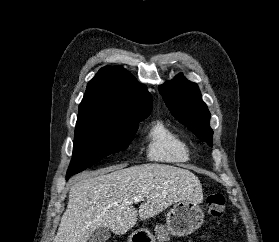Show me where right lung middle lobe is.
Wrapping results in <instances>:
<instances>
[{"instance_id":"right-lung-middle-lobe-1","label":"right lung middle lobe","mask_w":279,"mask_h":242,"mask_svg":"<svg viewBox=\"0 0 279 242\" xmlns=\"http://www.w3.org/2000/svg\"><path fill=\"white\" fill-rule=\"evenodd\" d=\"M137 129L138 122L123 123L109 119L78 117L73 156L66 179L91 167L103 157L127 149Z\"/></svg>"}]
</instances>
